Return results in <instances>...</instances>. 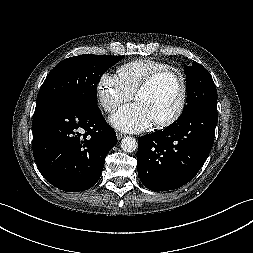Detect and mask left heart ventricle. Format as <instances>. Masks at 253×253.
<instances>
[{
  "mask_svg": "<svg viewBox=\"0 0 253 253\" xmlns=\"http://www.w3.org/2000/svg\"><path fill=\"white\" fill-rule=\"evenodd\" d=\"M137 103L147 107L153 117V121L162 120L171 115L177 108L179 101V89L172 77L159 80L156 85L135 97Z\"/></svg>",
  "mask_w": 253,
  "mask_h": 253,
  "instance_id": "obj_1",
  "label": "left heart ventricle"
}]
</instances>
